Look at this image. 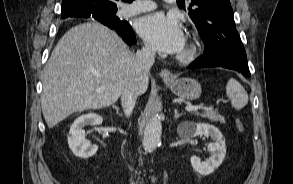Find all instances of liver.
<instances>
[{"label": "liver", "mask_w": 293, "mask_h": 184, "mask_svg": "<svg viewBox=\"0 0 293 184\" xmlns=\"http://www.w3.org/2000/svg\"><path fill=\"white\" fill-rule=\"evenodd\" d=\"M134 56L116 32L98 22L68 30L43 70L41 108L48 127L75 112L114 104L130 83L144 93L148 75L138 82Z\"/></svg>", "instance_id": "6515ba94"}]
</instances>
